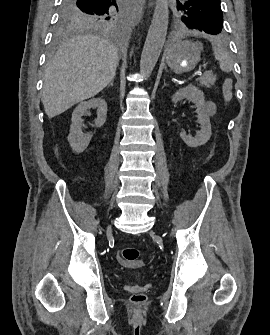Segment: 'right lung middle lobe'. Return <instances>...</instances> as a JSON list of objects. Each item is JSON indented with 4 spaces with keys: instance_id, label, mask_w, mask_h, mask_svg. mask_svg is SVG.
Segmentation results:
<instances>
[{
    "instance_id": "obj_1",
    "label": "right lung middle lobe",
    "mask_w": 270,
    "mask_h": 335,
    "mask_svg": "<svg viewBox=\"0 0 270 335\" xmlns=\"http://www.w3.org/2000/svg\"><path fill=\"white\" fill-rule=\"evenodd\" d=\"M124 15L123 0H62L55 38L78 30L118 28Z\"/></svg>"
}]
</instances>
